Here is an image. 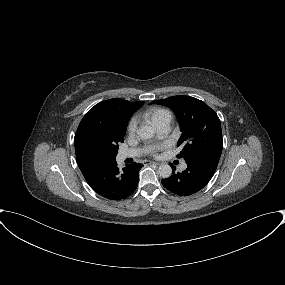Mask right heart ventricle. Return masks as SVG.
Instances as JSON below:
<instances>
[{"label":"right heart ventricle","mask_w":285,"mask_h":285,"mask_svg":"<svg viewBox=\"0 0 285 285\" xmlns=\"http://www.w3.org/2000/svg\"><path fill=\"white\" fill-rule=\"evenodd\" d=\"M147 116L156 125L162 118L171 116L170 112L163 108H154L147 113Z\"/></svg>","instance_id":"right-heart-ventricle-1"}]
</instances>
